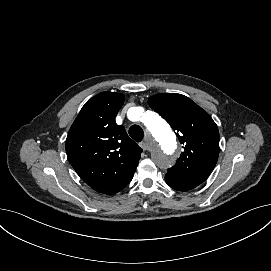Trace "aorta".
Wrapping results in <instances>:
<instances>
[{"mask_svg":"<svg viewBox=\"0 0 271 271\" xmlns=\"http://www.w3.org/2000/svg\"><path fill=\"white\" fill-rule=\"evenodd\" d=\"M141 120L150 132L154 162L163 169L172 166L178 156V149L169 125L158 114L151 111L145 113Z\"/></svg>","mask_w":271,"mask_h":271,"instance_id":"obj_1","label":"aorta"}]
</instances>
